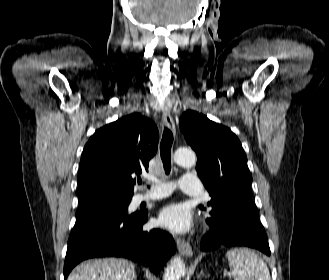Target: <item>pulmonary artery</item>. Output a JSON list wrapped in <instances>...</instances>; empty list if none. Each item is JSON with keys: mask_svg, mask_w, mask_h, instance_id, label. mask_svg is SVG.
Here are the masks:
<instances>
[{"mask_svg": "<svg viewBox=\"0 0 329 280\" xmlns=\"http://www.w3.org/2000/svg\"><path fill=\"white\" fill-rule=\"evenodd\" d=\"M180 189L189 197H199L201 194V182L195 174L187 173L180 180ZM170 191L171 185H158L151 192L138 195V201L157 200L167 196Z\"/></svg>", "mask_w": 329, "mask_h": 280, "instance_id": "pulmonary-artery-1", "label": "pulmonary artery"}]
</instances>
